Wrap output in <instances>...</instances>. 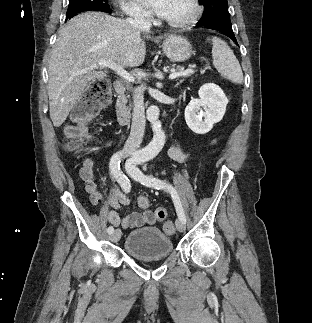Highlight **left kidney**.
<instances>
[{"label": "left kidney", "mask_w": 312, "mask_h": 323, "mask_svg": "<svg viewBox=\"0 0 312 323\" xmlns=\"http://www.w3.org/2000/svg\"><path fill=\"white\" fill-rule=\"evenodd\" d=\"M198 94L200 100L189 102L185 110V120L188 128L195 134H207L212 130L213 124L221 122L228 100L216 84H204Z\"/></svg>", "instance_id": "obj_1"}]
</instances>
